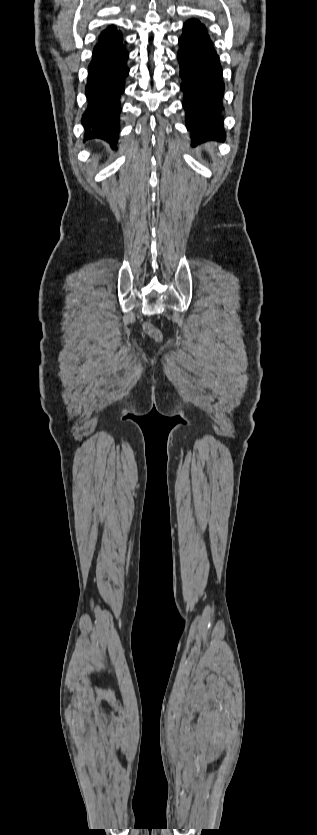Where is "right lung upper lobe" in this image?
Here are the masks:
<instances>
[{
    "label": "right lung upper lobe",
    "instance_id": "cb5924a9",
    "mask_svg": "<svg viewBox=\"0 0 317 835\" xmlns=\"http://www.w3.org/2000/svg\"><path fill=\"white\" fill-rule=\"evenodd\" d=\"M102 35L109 39H119L121 37V32L117 31L114 26H110L102 32Z\"/></svg>",
    "mask_w": 317,
    "mask_h": 835
}]
</instances>
